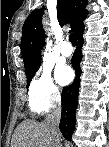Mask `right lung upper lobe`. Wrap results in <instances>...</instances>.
Instances as JSON below:
<instances>
[{
  "label": "right lung upper lobe",
  "instance_id": "cb5924a9",
  "mask_svg": "<svg viewBox=\"0 0 109 147\" xmlns=\"http://www.w3.org/2000/svg\"><path fill=\"white\" fill-rule=\"evenodd\" d=\"M86 0H57V16L61 26L71 24V30L80 32L83 20L88 15ZM42 9L34 10L26 19L21 38V54L26 70L41 64L40 50L44 45L45 33L42 26Z\"/></svg>",
  "mask_w": 109,
  "mask_h": 147
}]
</instances>
